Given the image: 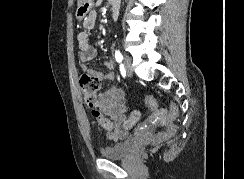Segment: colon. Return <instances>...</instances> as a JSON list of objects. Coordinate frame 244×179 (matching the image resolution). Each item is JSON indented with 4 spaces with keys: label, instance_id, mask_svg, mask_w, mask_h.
<instances>
[{
    "label": "colon",
    "instance_id": "1",
    "mask_svg": "<svg viewBox=\"0 0 244 179\" xmlns=\"http://www.w3.org/2000/svg\"><path fill=\"white\" fill-rule=\"evenodd\" d=\"M80 90L83 94L84 102L87 104L92 116L100 123L105 130H112L116 123L105 117L98 109L96 103V96L101 86V80L98 76L82 74L79 79ZM144 105L147 109H158V104L153 98H146ZM170 110L167 112L165 129L167 133H163V142H167L168 138H175V133H178V125H171L175 121L176 115H180L181 107H174L175 103H170ZM130 115L124 120L127 128L131 127L135 120H140V110L138 108H130Z\"/></svg>",
    "mask_w": 244,
    "mask_h": 179
}]
</instances>
